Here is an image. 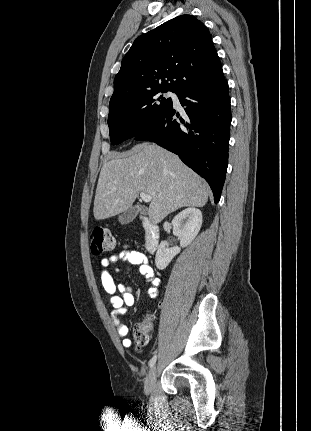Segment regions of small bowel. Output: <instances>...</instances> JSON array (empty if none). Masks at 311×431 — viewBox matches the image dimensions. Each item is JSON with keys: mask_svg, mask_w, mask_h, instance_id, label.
<instances>
[{"mask_svg": "<svg viewBox=\"0 0 311 431\" xmlns=\"http://www.w3.org/2000/svg\"><path fill=\"white\" fill-rule=\"evenodd\" d=\"M118 261H127L132 265L138 266L140 274L148 283H150L148 292L151 297L157 296L160 281L154 277V271L147 257L143 253L129 246L121 249L119 253L101 260V283L104 291L110 297V303L113 307V322L117 328L118 334L123 337V346L130 347L132 342L128 338L129 329L126 325L121 323L119 317L125 314L127 308L134 304V295L131 287L124 284H118L115 281V273H120V269L115 268L114 270H111L110 267Z\"/></svg>", "mask_w": 311, "mask_h": 431, "instance_id": "small-bowel-1", "label": "small bowel"}]
</instances>
